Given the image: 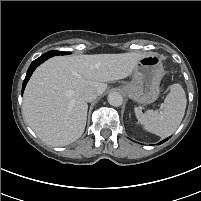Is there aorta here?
I'll use <instances>...</instances> for the list:
<instances>
[{
  "label": "aorta",
  "instance_id": "obj_1",
  "mask_svg": "<svg viewBox=\"0 0 201 201\" xmlns=\"http://www.w3.org/2000/svg\"><path fill=\"white\" fill-rule=\"evenodd\" d=\"M107 99H108L109 104L112 106H115V107L121 106L123 103V97L118 92L109 93Z\"/></svg>",
  "mask_w": 201,
  "mask_h": 201
}]
</instances>
